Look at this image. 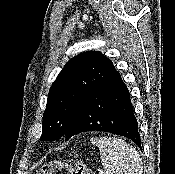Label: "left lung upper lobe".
Masks as SVG:
<instances>
[{"label":"left lung upper lobe","mask_w":175,"mask_h":174,"mask_svg":"<svg viewBox=\"0 0 175 174\" xmlns=\"http://www.w3.org/2000/svg\"><path fill=\"white\" fill-rule=\"evenodd\" d=\"M116 69L101 52H83L70 59L50 88L43 114L41 140L64 136L79 101Z\"/></svg>","instance_id":"1"}]
</instances>
